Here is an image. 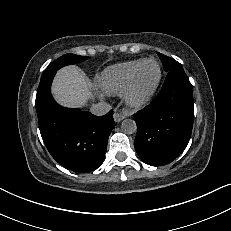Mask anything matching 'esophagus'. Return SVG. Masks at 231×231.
Masks as SVG:
<instances>
[{
  "mask_svg": "<svg viewBox=\"0 0 231 231\" xmlns=\"http://www.w3.org/2000/svg\"><path fill=\"white\" fill-rule=\"evenodd\" d=\"M125 117H126L125 114L119 113V112H115L114 115H113L114 121L117 122V123L122 121Z\"/></svg>",
  "mask_w": 231,
  "mask_h": 231,
  "instance_id": "esophagus-1",
  "label": "esophagus"
}]
</instances>
